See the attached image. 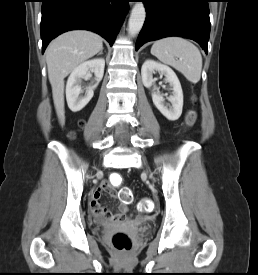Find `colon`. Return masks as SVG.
<instances>
[{
	"label": "colon",
	"instance_id": "1",
	"mask_svg": "<svg viewBox=\"0 0 258 275\" xmlns=\"http://www.w3.org/2000/svg\"><path fill=\"white\" fill-rule=\"evenodd\" d=\"M195 120V114L193 111H190L187 114V124L192 125ZM80 124L82 125L83 122L81 121ZM123 182V178L121 175L114 174L111 177V184L114 186H119ZM119 198L128 203L132 200V193L128 188H122L119 192ZM138 209L142 213H147L152 209V202L148 198H143L138 206ZM112 244L114 248L119 251H129L132 248V239L131 237L125 232H117L112 236Z\"/></svg>",
	"mask_w": 258,
	"mask_h": 275
}]
</instances>
